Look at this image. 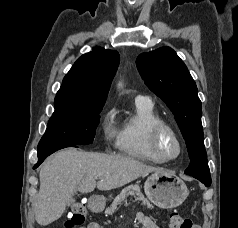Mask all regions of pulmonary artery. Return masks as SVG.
<instances>
[{"instance_id": "1", "label": "pulmonary artery", "mask_w": 238, "mask_h": 228, "mask_svg": "<svg viewBox=\"0 0 238 228\" xmlns=\"http://www.w3.org/2000/svg\"><path fill=\"white\" fill-rule=\"evenodd\" d=\"M136 99H138V100H149L147 97H144V96H138Z\"/></svg>"}]
</instances>
